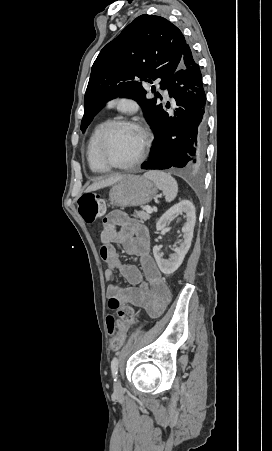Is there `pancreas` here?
I'll return each mask as SVG.
<instances>
[{
  "instance_id": "cf45deb5",
  "label": "pancreas",
  "mask_w": 272,
  "mask_h": 451,
  "mask_svg": "<svg viewBox=\"0 0 272 451\" xmlns=\"http://www.w3.org/2000/svg\"><path fill=\"white\" fill-rule=\"evenodd\" d=\"M135 214L138 218H140V220H150V216L147 212H135Z\"/></svg>"
}]
</instances>
